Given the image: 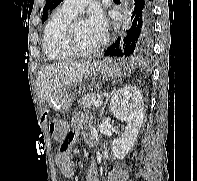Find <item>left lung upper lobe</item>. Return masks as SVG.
<instances>
[{"mask_svg":"<svg viewBox=\"0 0 197 181\" xmlns=\"http://www.w3.org/2000/svg\"><path fill=\"white\" fill-rule=\"evenodd\" d=\"M63 0H46V4L43 8V16L42 21L44 22L48 17V10H52L55 8L58 4H60Z\"/></svg>","mask_w":197,"mask_h":181,"instance_id":"1","label":"left lung upper lobe"}]
</instances>
